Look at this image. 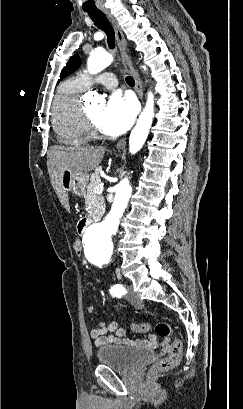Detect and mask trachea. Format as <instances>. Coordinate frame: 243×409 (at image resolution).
I'll use <instances>...</instances> for the list:
<instances>
[{"mask_svg":"<svg viewBox=\"0 0 243 409\" xmlns=\"http://www.w3.org/2000/svg\"><path fill=\"white\" fill-rule=\"evenodd\" d=\"M94 24L101 30H103L107 35V41L110 48L115 46V35L114 30L110 22L108 21L106 15L102 11L87 12ZM126 82L129 86H134L135 81L132 77L127 76Z\"/></svg>","mask_w":243,"mask_h":409,"instance_id":"obj_1","label":"trachea"}]
</instances>
